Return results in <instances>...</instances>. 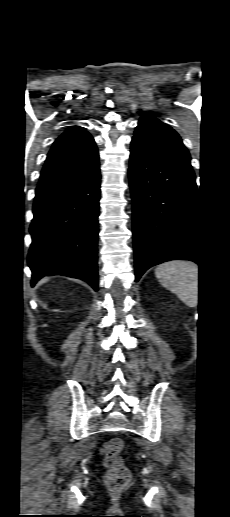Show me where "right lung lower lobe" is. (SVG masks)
I'll return each instance as SVG.
<instances>
[{"mask_svg":"<svg viewBox=\"0 0 230 517\" xmlns=\"http://www.w3.org/2000/svg\"><path fill=\"white\" fill-rule=\"evenodd\" d=\"M99 199V163L68 179L38 185L28 254L32 286L44 276L64 275L97 290Z\"/></svg>","mask_w":230,"mask_h":517,"instance_id":"1","label":"right lung lower lobe"}]
</instances>
